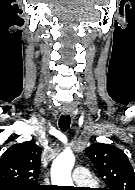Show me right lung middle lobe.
I'll return each mask as SVG.
<instances>
[{
  "label": "right lung middle lobe",
  "instance_id": "obj_1",
  "mask_svg": "<svg viewBox=\"0 0 135 190\" xmlns=\"http://www.w3.org/2000/svg\"><path fill=\"white\" fill-rule=\"evenodd\" d=\"M40 188H38V189H36V190H39ZM5 190H12V189H9V188H7V189H5Z\"/></svg>",
  "mask_w": 135,
  "mask_h": 190
}]
</instances>
